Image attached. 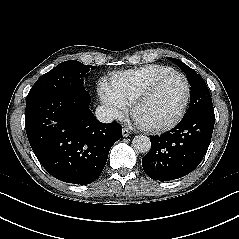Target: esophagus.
Returning a JSON list of instances; mask_svg holds the SVG:
<instances>
[{
    "instance_id": "obj_1",
    "label": "esophagus",
    "mask_w": 239,
    "mask_h": 239,
    "mask_svg": "<svg viewBox=\"0 0 239 239\" xmlns=\"http://www.w3.org/2000/svg\"><path fill=\"white\" fill-rule=\"evenodd\" d=\"M131 132L127 128H123L122 130V135L123 137H128L130 136Z\"/></svg>"
}]
</instances>
